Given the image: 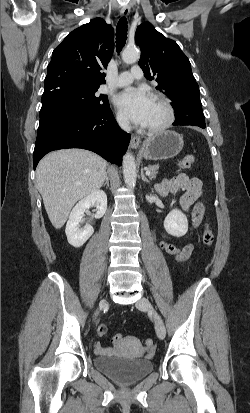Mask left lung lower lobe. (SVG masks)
Here are the masks:
<instances>
[{
  "instance_id": "0a47b994",
  "label": "left lung lower lobe",
  "mask_w": 250,
  "mask_h": 413,
  "mask_svg": "<svg viewBox=\"0 0 250 413\" xmlns=\"http://www.w3.org/2000/svg\"><path fill=\"white\" fill-rule=\"evenodd\" d=\"M175 121L173 125H194L205 128V118L200 99L190 100L174 107Z\"/></svg>"
}]
</instances>
